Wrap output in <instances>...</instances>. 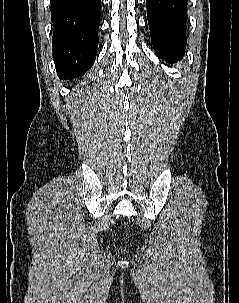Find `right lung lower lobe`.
<instances>
[{"label": "right lung lower lobe", "mask_w": 239, "mask_h": 303, "mask_svg": "<svg viewBox=\"0 0 239 303\" xmlns=\"http://www.w3.org/2000/svg\"><path fill=\"white\" fill-rule=\"evenodd\" d=\"M101 0H51L53 59L58 76L84 75L98 47Z\"/></svg>", "instance_id": "98d812e1"}]
</instances>
